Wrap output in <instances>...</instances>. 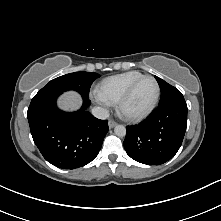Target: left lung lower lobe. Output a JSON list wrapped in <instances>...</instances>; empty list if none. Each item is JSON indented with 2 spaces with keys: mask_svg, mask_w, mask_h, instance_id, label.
<instances>
[{
  "mask_svg": "<svg viewBox=\"0 0 221 221\" xmlns=\"http://www.w3.org/2000/svg\"><path fill=\"white\" fill-rule=\"evenodd\" d=\"M187 126V104L178 100L160 105L139 125L128 126L123 142L135 161L160 165L179 150Z\"/></svg>",
  "mask_w": 221,
  "mask_h": 221,
  "instance_id": "obj_1",
  "label": "left lung lower lobe"
}]
</instances>
